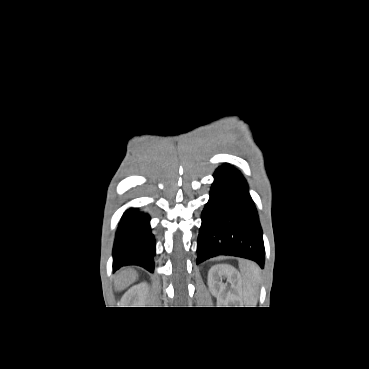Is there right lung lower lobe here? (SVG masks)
Returning a JSON list of instances; mask_svg holds the SVG:
<instances>
[{"label": "right lung lower lobe", "mask_w": 369, "mask_h": 369, "mask_svg": "<svg viewBox=\"0 0 369 369\" xmlns=\"http://www.w3.org/2000/svg\"><path fill=\"white\" fill-rule=\"evenodd\" d=\"M149 216L129 209L122 217L113 247L114 271L127 265H137L153 272L155 240L151 234Z\"/></svg>", "instance_id": "98d812e1"}]
</instances>
